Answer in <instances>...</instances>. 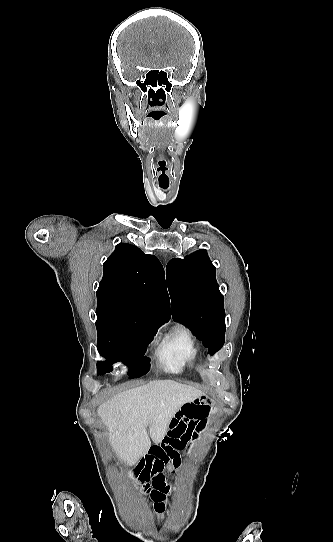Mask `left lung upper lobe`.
Here are the masks:
<instances>
[{"label":"left lung upper lobe","mask_w":333,"mask_h":542,"mask_svg":"<svg viewBox=\"0 0 333 542\" xmlns=\"http://www.w3.org/2000/svg\"><path fill=\"white\" fill-rule=\"evenodd\" d=\"M215 273L205 249L171 259L166 267L173 320L188 326L211 355L222 348L226 330L224 297Z\"/></svg>","instance_id":"5c2ea615"}]
</instances>
